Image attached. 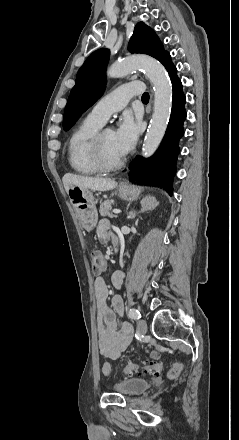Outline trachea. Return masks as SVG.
Here are the masks:
<instances>
[{"mask_svg":"<svg viewBox=\"0 0 239 440\" xmlns=\"http://www.w3.org/2000/svg\"><path fill=\"white\" fill-rule=\"evenodd\" d=\"M141 98L144 103H147V101L149 100V93L147 92L143 93Z\"/></svg>","mask_w":239,"mask_h":440,"instance_id":"1","label":"trachea"}]
</instances>
